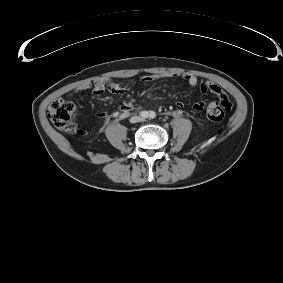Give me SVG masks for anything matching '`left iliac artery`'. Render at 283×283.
Masks as SVG:
<instances>
[{
    "mask_svg": "<svg viewBox=\"0 0 283 283\" xmlns=\"http://www.w3.org/2000/svg\"><path fill=\"white\" fill-rule=\"evenodd\" d=\"M149 117L151 119L155 118L156 117V113L154 111H150Z\"/></svg>",
    "mask_w": 283,
    "mask_h": 283,
    "instance_id": "44dca946",
    "label": "left iliac artery"
}]
</instances>
